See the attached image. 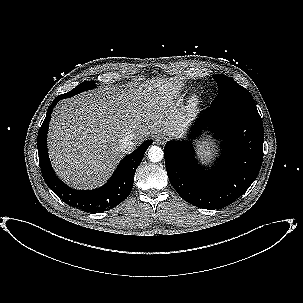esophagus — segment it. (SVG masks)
Instances as JSON below:
<instances>
[{
    "label": "esophagus",
    "mask_w": 303,
    "mask_h": 303,
    "mask_svg": "<svg viewBox=\"0 0 303 303\" xmlns=\"http://www.w3.org/2000/svg\"><path fill=\"white\" fill-rule=\"evenodd\" d=\"M165 139L166 138L163 135H158V136L155 137L154 141H155L156 144H163Z\"/></svg>",
    "instance_id": "34e87169"
}]
</instances>
